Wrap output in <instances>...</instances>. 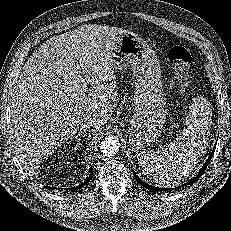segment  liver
Here are the masks:
<instances>
[{"label":"liver","mask_w":231,"mask_h":231,"mask_svg":"<svg viewBox=\"0 0 231 231\" xmlns=\"http://www.w3.org/2000/svg\"><path fill=\"white\" fill-rule=\"evenodd\" d=\"M125 29L82 25L43 43L26 61L12 94L10 140L34 170L77 132L84 116L99 131L118 103L111 52ZM89 83L93 90L83 89Z\"/></svg>","instance_id":"liver-1"}]
</instances>
